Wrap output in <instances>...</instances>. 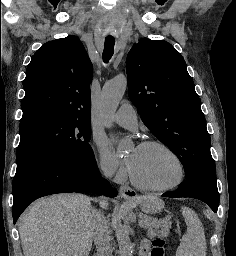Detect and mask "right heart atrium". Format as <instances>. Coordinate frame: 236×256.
Here are the masks:
<instances>
[{
  "instance_id": "1",
  "label": "right heart atrium",
  "mask_w": 236,
  "mask_h": 256,
  "mask_svg": "<svg viewBox=\"0 0 236 256\" xmlns=\"http://www.w3.org/2000/svg\"><path fill=\"white\" fill-rule=\"evenodd\" d=\"M98 166L102 175L107 179H113L117 183H122L127 179V172L120 167L109 151L102 146L98 147Z\"/></svg>"
}]
</instances>
